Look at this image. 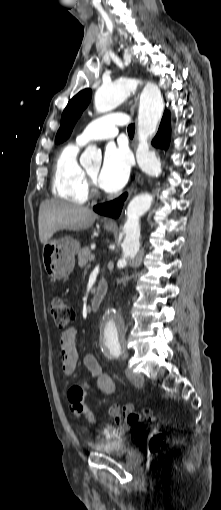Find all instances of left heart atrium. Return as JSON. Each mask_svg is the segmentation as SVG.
Here are the masks:
<instances>
[{"mask_svg": "<svg viewBox=\"0 0 221 510\" xmlns=\"http://www.w3.org/2000/svg\"><path fill=\"white\" fill-rule=\"evenodd\" d=\"M130 166V155L125 147L108 145L97 178L99 186L107 192L118 191L128 180Z\"/></svg>", "mask_w": 221, "mask_h": 510, "instance_id": "1", "label": "left heart atrium"}]
</instances>
